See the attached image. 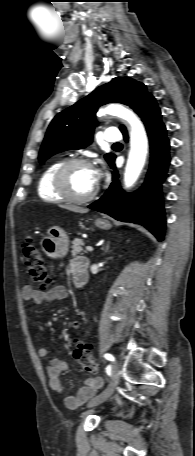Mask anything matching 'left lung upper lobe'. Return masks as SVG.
Wrapping results in <instances>:
<instances>
[{
  "mask_svg": "<svg viewBox=\"0 0 195 456\" xmlns=\"http://www.w3.org/2000/svg\"><path fill=\"white\" fill-rule=\"evenodd\" d=\"M151 97L146 86L129 77H116L98 87L87 97L55 116L47 130L39 153L43 164L52 155L72 149L85 148L92 142L94 127L97 125L95 112L103 104L119 102L130 106L136 113ZM122 132L126 129L120 127ZM105 159L111 165L115 155L108 153Z\"/></svg>",
  "mask_w": 195,
  "mask_h": 456,
  "instance_id": "obj_1",
  "label": "left lung upper lobe"
}]
</instances>
